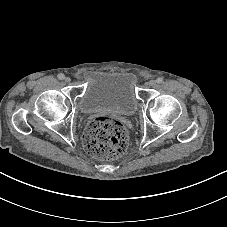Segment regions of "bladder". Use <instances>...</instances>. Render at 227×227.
Returning a JSON list of instances; mask_svg holds the SVG:
<instances>
[{
	"mask_svg": "<svg viewBox=\"0 0 227 227\" xmlns=\"http://www.w3.org/2000/svg\"><path fill=\"white\" fill-rule=\"evenodd\" d=\"M135 82L131 72L92 71L78 103L80 114L108 111L122 118L133 115L140 102Z\"/></svg>",
	"mask_w": 227,
	"mask_h": 227,
	"instance_id": "bladder-1",
	"label": "bladder"
}]
</instances>
